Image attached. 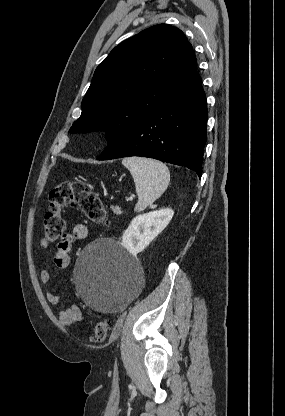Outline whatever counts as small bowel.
<instances>
[{"instance_id": "c3829d8e", "label": "small bowel", "mask_w": 285, "mask_h": 416, "mask_svg": "<svg viewBox=\"0 0 285 416\" xmlns=\"http://www.w3.org/2000/svg\"><path fill=\"white\" fill-rule=\"evenodd\" d=\"M88 233V227L85 224L78 223L74 225L71 233L65 234L62 237L54 255V264L56 267L60 269L68 267L70 263V252L74 243L87 238ZM40 280L43 284H48L51 281V273L48 270H42ZM46 296L47 300L53 305H59L61 302L60 296L54 291H48ZM81 320L82 312L77 305H70L60 309L58 312V321L63 326H71Z\"/></svg>"}]
</instances>
